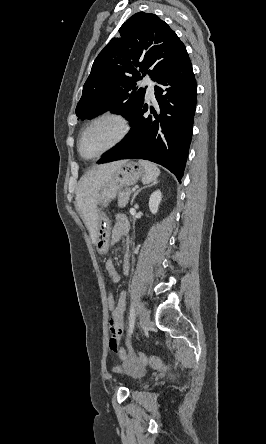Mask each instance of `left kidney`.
Listing matches in <instances>:
<instances>
[{
  "mask_svg": "<svg viewBox=\"0 0 266 444\" xmlns=\"http://www.w3.org/2000/svg\"><path fill=\"white\" fill-rule=\"evenodd\" d=\"M161 200H162V195L160 190H156L151 194L149 199V209L153 214H156L158 212Z\"/></svg>",
  "mask_w": 266,
  "mask_h": 444,
  "instance_id": "1",
  "label": "left kidney"
}]
</instances>
